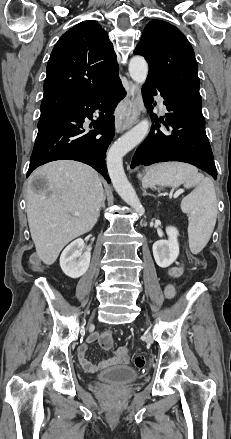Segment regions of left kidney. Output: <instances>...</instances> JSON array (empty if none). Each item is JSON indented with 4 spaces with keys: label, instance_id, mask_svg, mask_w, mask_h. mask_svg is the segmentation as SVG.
Wrapping results in <instances>:
<instances>
[{
    "label": "left kidney",
    "instance_id": "5707ae66",
    "mask_svg": "<svg viewBox=\"0 0 231 439\" xmlns=\"http://www.w3.org/2000/svg\"><path fill=\"white\" fill-rule=\"evenodd\" d=\"M167 240H159L153 244V256L157 265L161 268L170 266L179 255V243L177 228L169 226L166 228Z\"/></svg>",
    "mask_w": 231,
    "mask_h": 439
}]
</instances>
